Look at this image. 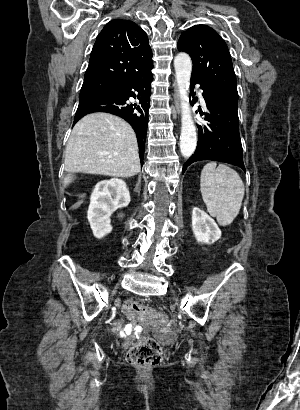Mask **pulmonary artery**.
<instances>
[{
  "mask_svg": "<svg viewBox=\"0 0 300 410\" xmlns=\"http://www.w3.org/2000/svg\"><path fill=\"white\" fill-rule=\"evenodd\" d=\"M201 89H199V93H200V97H201V101H202V103L204 104L205 102H204V99H203V97H202V94H201Z\"/></svg>",
  "mask_w": 300,
  "mask_h": 410,
  "instance_id": "e3ab8cb5",
  "label": "pulmonary artery"
}]
</instances>
